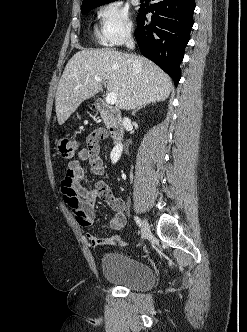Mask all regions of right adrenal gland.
Returning a JSON list of instances; mask_svg holds the SVG:
<instances>
[{
  "instance_id": "2a0ac1e0",
  "label": "right adrenal gland",
  "mask_w": 247,
  "mask_h": 332,
  "mask_svg": "<svg viewBox=\"0 0 247 332\" xmlns=\"http://www.w3.org/2000/svg\"><path fill=\"white\" fill-rule=\"evenodd\" d=\"M147 104H144L142 106L137 107L133 112L132 115H134L138 110H140L141 108L145 107Z\"/></svg>"
}]
</instances>
